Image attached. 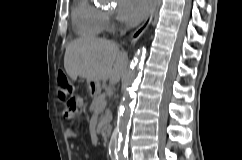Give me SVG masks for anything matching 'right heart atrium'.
I'll list each match as a JSON object with an SVG mask.
<instances>
[{
    "label": "right heart atrium",
    "mask_w": 242,
    "mask_h": 160,
    "mask_svg": "<svg viewBox=\"0 0 242 160\" xmlns=\"http://www.w3.org/2000/svg\"><path fill=\"white\" fill-rule=\"evenodd\" d=\"M106 23L109 24L110 23V18L108 16H106Z\"/></svg>",
    "instance_id": "d8ad5b80"
}]
</instances>
